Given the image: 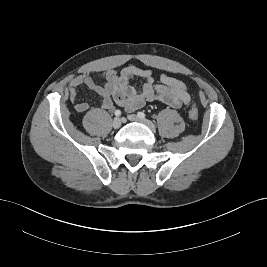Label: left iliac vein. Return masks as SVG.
Segmentation results:
<instances>
[{
    "label": "left iliac vein",
    "instance_id": "1",
    "mask_svg": "<svg viewBox=\"0 0 267 267\" xmlns=\"http://www.w3.org/2000/svg\"><path fill=\"white\" fill-rule=\"evenodd\" d=\"M128 119L130 121L142 123V124L146 125L150 130L155 131V125L150 120L140 118L139 116H137L135 114L129 115Z\"/></svg>",
    "mask_w": 267,
    "mask_h": 267
}]
</instances>
